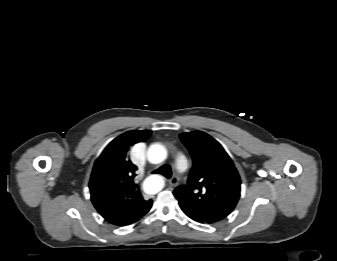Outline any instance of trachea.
Instances as JSON below:
<instances>
[{
    "mask_svg": "<svg viewBox=\"0 0 337 261\" xmlns=\"http://www.w3.org/2000/svg\"><path fill=\"white\" fill-rule=\"evenodd\" d=\"M153 173L162 174L167 178H170L171 175H172L170 167L168 165H164V166L160 167L159 169L153 171Z\"/></svg>",
    "mask_w": 337,
    "mask_h": 261,
    "instance_id": "3493384b",
    "label": "trachea"
}]
</instances>
